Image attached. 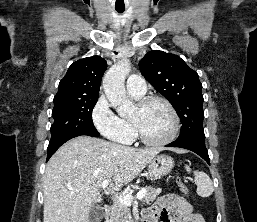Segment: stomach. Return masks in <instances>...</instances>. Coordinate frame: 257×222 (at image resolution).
I'll use <instances>...</instances> for the list:
<instances>
[{"instance_id":"0dacf381","label":"stomach","mask_w":257,"mask_h":222,"mask_svg":"<svg viewBox=\"0 0 257 222\" xmlns=\"http://www.w3.org/2000/svg\"><path fill=\"white\" fill-rule=\"evenodd\" d=\"M174 167L173 159L168 155H157L148 163V172L152 179L166 176Z\"/></svg>"}]
</instances>
